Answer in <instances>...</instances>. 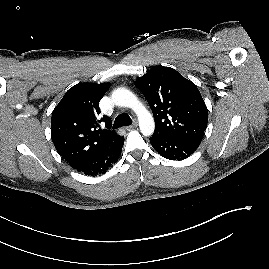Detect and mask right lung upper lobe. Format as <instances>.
Segmentation results:
<instances>
[{"instance_id":"right-lung-upper-lobe-1","label":"right lung upper lobe","mask_w":269,"mask_h":269,"mask_svg":"<svg viewBox=\"0 0 269 269\" xmlns=\"http://www.w3.org/2000/svg\"><path fill=\"white\" fill-rule=\"evenodd\" d=\"M110 83H79L71 87L52 112L51 138L57 152L77 168L120 137L115 131L100 129L107 116L99 119V102Z\"/></svg>"}]
</instances>
